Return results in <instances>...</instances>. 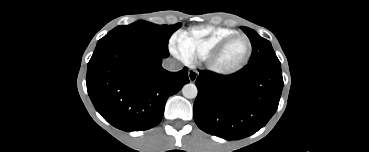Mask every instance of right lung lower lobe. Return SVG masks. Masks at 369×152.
I'll return each instance as SVG.
<instances>
[{"label":"right lung lower lobe","instance_id":"98d812e1","mask_svg":"<svg viewBox=\"0 0 369 152\" xmlns=\"http://www.w3.org/2000/svg\"><path fill=\"white\" fill-rule=\"evenodd\" d=\"M168 56L135 41H113L96 48L86 77L95 109L123 131L158 125L168 97L189 82L186 67L179 72L162 67Z\"/></svg>","mask_w":369,"mask_h":152}]
</instances>
